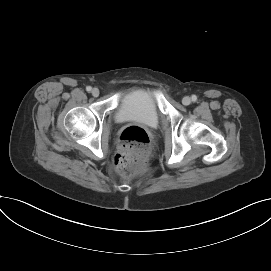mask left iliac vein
<instances>
[{"label": "left iliac vein", "instance_id": "left-iliac-vein-1", "mask_svg": "<svg viewBox=\"0 0 271 271\" xmlns=\"http://www.w3.org/2000/svg\"><path fill=\"white\" fill-rule=\"evenodd\" d=\"M182 103L184 105H189L191 103V98L188 97V96H185L183 99H182Z\"/></svg>", "mask_w": 271, "mask_h": 271}]
</instances>
